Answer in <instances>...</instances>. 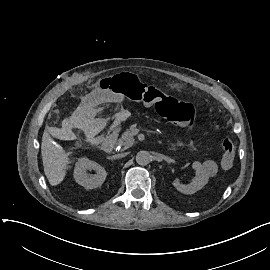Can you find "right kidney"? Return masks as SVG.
Wrapping results in <instances>:
<instances>
[{
  "instance_id": "right-kidney-1",
  "label": "right kidney",
  "mask_w": 270,
  "mask_h": 270,
  "mask_svg": "<svg viewBox=\"0 0 270 270\" xmlns=\"http://www.w3.org/2000/svg\"><path fill=\"white\" fill-rule=\"evenodd\" d=\"M95 170L96 174L89 175L87 174L86 170ZM107 173L105 169L100 166L98 163L89 160L86 157L79 158L75 164L74 168V178L75 181L87 188V189H94L103 184Z\"/></svg>"
}]
</instances>
